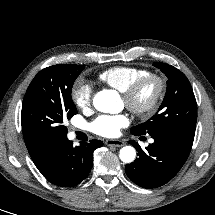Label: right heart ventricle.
Returning a JSON list of instances; mask_svg holds the SVG:
<instances>
[{
  "label": "right heart ventricle",
  "instance_id": "obj_1",
  "mask_svg": "<svg viewBox=\"0 0 215 215\" xmlns=\"http://www.w3.org/2000/svg\"><path fill=\"white\" fill-rule=\"evenodd\" d=\"M147 73L146 69L140 67L114 66L102 71L98 75V79L107 86L122 93L135 80Z\"/></svg>",
  "mask_w": 215,
  "mask_h": 215
}]
</instances>
